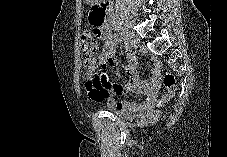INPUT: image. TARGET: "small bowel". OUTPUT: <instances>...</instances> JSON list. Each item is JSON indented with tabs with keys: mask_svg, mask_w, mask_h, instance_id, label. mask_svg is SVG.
<instances>
[{
	"mask_svg": "<svg viewBox=\"0 0 227 157\" xmlns=\"http://www.w3.org/2000/svg\"><path fill=\"white\" fill-rule=\"evenodd\" d=\"M98 34L103 40L99 52V63L103 67L116 66L118 63L115 55V45L118 43L117 37L109 32H98ZM125 71L129 77L127 85L110 82L105 76L100 78L96 84H86L89 98L95 102H105L108 106L114 109L127 112H135L141 109L151 108L160 88L159 63L155 62V67L150 80L140 79L136 70V62L133 58H130L125 65ZM130 90L139 94H144V101L141 104L116 101L115 96L122 95Z\"/></svg>",
	"mask_w": 227,
	"mask_h": 157,
	"instance_id": "obj_1",
	"label": "small bowel"
}]
</instances>
